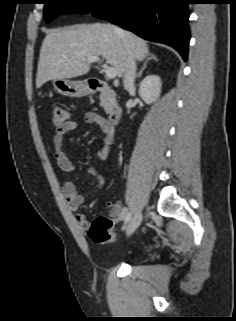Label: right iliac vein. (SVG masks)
Here are the masks:
<instances>
[{
	"label": "right iliac vein",
	"mask_w": 236,
	"mask_h": 321,
	"mask_svg": "<svg viewBox=\"0 0 236 321\" xmlns=\"http://www.w3.org/2000/svg\"><path fill=\"white\" fill-rule=\"evenodd\" d=\"M141 220H142V213L141 211H137L126 224L125 228H126L127 236L132 235L136 231V229L141 223Z\"/></svg>",
	"instance_id": "obj_1"
}]
</instances>
